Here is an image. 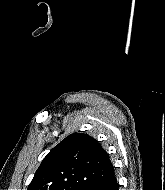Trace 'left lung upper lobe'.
Instances as JSON below:
<instances>
[{
	"mask_svg": "<svg viewBox=\"0 0 165 190\" xmlns=\"http://www.w3.org/2000/svg\"><path fill=\"white\" fill-rule=\"evenodd\" d=\"M113 169L98 141L73 133L45 156L27 190H96Z\"/></svg>",
	"mask_w": 165,
	"mask_h": 190,
	"instance_id": "obj_1",
	"label": "left lung upper lobe"
}]
</instances>
